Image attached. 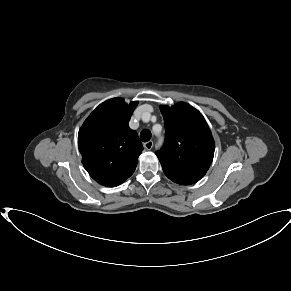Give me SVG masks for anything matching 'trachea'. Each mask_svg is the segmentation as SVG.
<instances>
[{
	"label": "trachea",
	"mask_w": 291,
	"mask_h": 291,
	"mask_svg": "<svg viewBox=\"0 0 291 291\" xmlns=\"http://www.w3.org/2000/svg\"><path fill=\"white\" fill-rule=\"evenodd\" d=\"M140 139L143 141V142H148L150 139H151V132L149 130H143L141 133H140Z\"/></svg>",
	"instance_id": "obj_1"
}]
</instances>
